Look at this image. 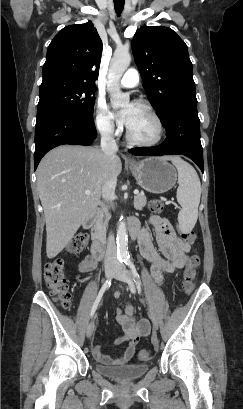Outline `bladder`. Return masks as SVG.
I'll list each match as a JSON object with an SVG mask.
<instances>
[{"mask_svg": "<svg viewBox=\"0 0 243 409\" xmlns=\"http://www.w3.org/2000/svg\"><path fill=\"white\" fill-rule=\"evenodd\" d=\"M96 371L106 377L118 381H131L143 377L148 369V364H123L118 366H107L100 363L95 364Z\"/></svg>", "mask_w": 243, "mask_h": 409, "instance_id": "obj_1", "label": "bladder"}]
</instances>
